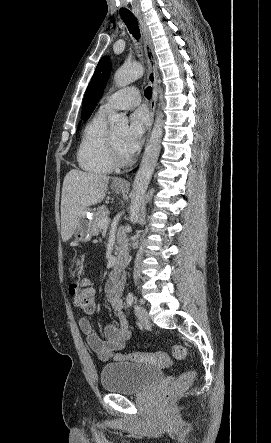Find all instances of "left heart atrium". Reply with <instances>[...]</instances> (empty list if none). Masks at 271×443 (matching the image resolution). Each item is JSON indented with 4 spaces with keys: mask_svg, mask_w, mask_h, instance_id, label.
<instances>
[{
    "mask_svg": "<svg viewBox=\"0 0 271 443\" xmlns=\"http://www.w3.org/2000/svg\"><path fill=\"white\" fill-rule=\"evenodd\" d=\"M150 120L146 110L137 109L129 116V126L122 140L121 149L126 155H133L143 145Z\"/></svg>",
    "mask_w": 271,
    "mask_h": 443,
    "instance_id": "39dd6f15",
    "label": "left heart atrium"
}]
</instances>
